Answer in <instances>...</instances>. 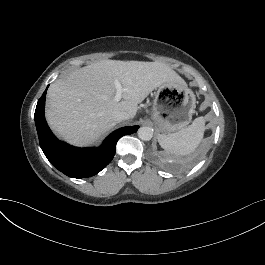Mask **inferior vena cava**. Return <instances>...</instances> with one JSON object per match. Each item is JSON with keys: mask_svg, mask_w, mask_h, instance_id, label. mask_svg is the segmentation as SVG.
<instances>
[{"mask_svg": "<svg viewBox=\"0 0 265 265\" xmlns=\"http://www.w3.org/2000/svg\"><path fill=\"white\" fill-rule=\"evenodd\" d=\"M112 118L116 121V122H120L123 120H128L130 118L129 113L125 112V111H117L114 112L112 114Z\"/></svg>", "mask_w": 265, "mask_h": 265, "instance_id": "obj_1", "label": "inferior vena cava"}]
</instances>
